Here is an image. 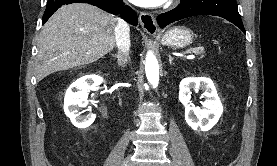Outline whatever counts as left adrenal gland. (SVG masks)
<instances>
[{"mask_svg":"<svg viewBox=\"0 0 277 166\" xmlns=\"http://www.w3.org/2000/svg\"><path fill=\"white\" fill-rule=\"evenodd\" d=\"M168 57H169V63L170 65H172L173 57L171 55H168Z\"/></svg>","mask_w":277,"mask_h":166,"instance_id":"1","label":"left adrenal gland"}]
</instances>
